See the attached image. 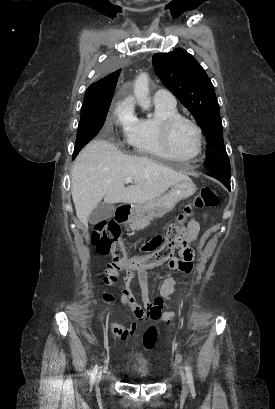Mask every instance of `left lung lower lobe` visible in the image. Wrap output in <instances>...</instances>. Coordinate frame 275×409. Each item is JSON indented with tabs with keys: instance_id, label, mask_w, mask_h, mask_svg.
Here are the masks:
<instances>
[{
	"instance_id": "left-lung-lower-lobe-1",
	"label": "left lung lower lobe",
	"mask_w": 275,
	"mask_h": 409,
	"mask_svg": "<svg viewBox=\"0 0 275 409\" xmlns=\"http://www.w3.org/2000/svg\"><path fill=\"white\" fill-rule=\"evenodd\" d=\"M209 176H212L214 178H216L217 180H219L220 182H222L230 191V175H225L221 172H217V171H207L206 173Z\"/></svg>"
}]
</instances>
